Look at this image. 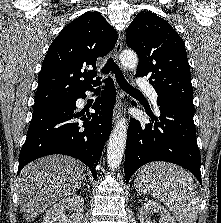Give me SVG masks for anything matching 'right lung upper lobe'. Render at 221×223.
Returning a JSON list of instances; mask_svg holds the SVG:
<instances>
[{"label": "right lung upper lobe", "mask_w": 221, "mask_h": 223, "mask_svg": "<svg viewBox=\"0 0 221 223\" xmlns=\"http://www.w3.org/2000/svg\"><path fill=\"white\" fill-rule=\"evenodd\" d=\"M117 42V33L99 12L68 24L50 45L38 77L35 106L68 100L92 88L95 62ZM91 66L92 71L85 68Z\"/></svg>", "instance_id": "right-lung-upper-lobe-1"}]
</instances>
